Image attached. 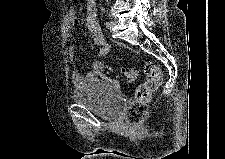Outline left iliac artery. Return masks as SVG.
Masks as SVG:
<instances>
[{
  "label": "left iliac artery",
  "mask_w": 225,
  "mask_h": 159,
  "mask_svg": "<svg viewBox=\"0 0 225 159\" xmlns=\"http://www.w3.org/2000/svg\"><path fill=\"white\" fill-rule=\"evenodd\" d=\"M105 25H106V27H107V26L109 25V22H106Z\"/></svg>",
  "instance_id": "left-iliac-artery-1"
}]
</instances>
